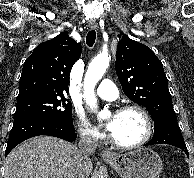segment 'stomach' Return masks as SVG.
Segmentation results:
<instances>
[{
	"label": "stomach",
	"mask_w": 194,
	"mask_h": 178,
	"mask_svg": "<svg viewBox=\"0 0 194 178\" xmlns=\"http://www.w3.org/2000/svg\"><path fill=\"white\" fill-rule=\"evenodd\" d=\"M121 178H159L162 171L160 156L149 148L137 149L125 154H115L105 159Z\"/></svg>",
	"instance_id": "1"
}]
</instances>
